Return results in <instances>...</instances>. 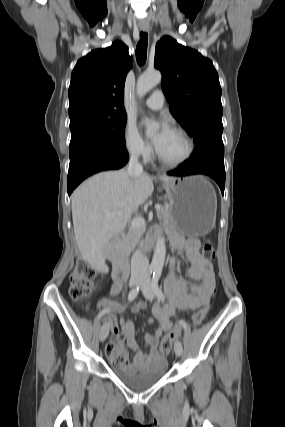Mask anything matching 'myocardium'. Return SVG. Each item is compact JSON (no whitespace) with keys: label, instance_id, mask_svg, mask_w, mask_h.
Returning <instances> with one entry per match:
<instances>
[{"label":"myocardium","instance_id":"myocardium-1","mask_svg":"<svg viewBox=\"0 0 285 427\" xmlns=\"http://www.w3.org/2000/svg\"><path fill=\"white\" fill-rule=\"evenodd\" d=\"M171 131L178 133L185 140V142L187 144V149H186L185 154L180 159H178V160L169 161V160L163 159L158 154V152L156 150L155 151V157H156L157 161L161 165H163L165 167H169V168H176V167H179V166L185 164L192 157V155L194 153V149H195V144H194V141H193L192 137L183 128H181V127H173V128H171Z\"/></svg>","mask_w":285,"mask_h":427}]
</instances>
